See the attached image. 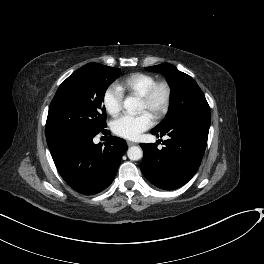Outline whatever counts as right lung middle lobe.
Wrapping results in <instances>:
<instances>
[{"label":"right lung middle lobe","instance_id":"dd1d6c3e","mask_svg":"<svg viewBox=\"0 0 264 264\" xmlns=\"http://www.w3.org/2000/svg\"><path fill=\"white\" fill-rule=\"evenodd\" d=\"M119 72L120 69L89 63L63 81L49 107L46 138L101 132L106 127L104 94Z\"/></svg>","mask_w":264,"mask_h":264}]
</instances>
